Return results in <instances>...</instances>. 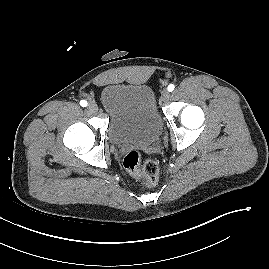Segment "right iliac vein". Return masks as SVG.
Masks as SVG:
<instances>
[{"label":"right iliac vein","mask_w":269,"mask_h":269,"mask_svg":"<svg viewBox=\"0 0 269 269\" xmlns=\"http://www.w3.org/2000/svg\"><path fill=\"white\" fill-rule=\"evenodd\" d=\"M88 109L91 112H96L98 110L97 104L95 102H90L88 104Z\"/></svg>","instance_id":"right-iliac-vein-1"}]
</instances>
